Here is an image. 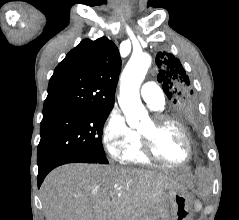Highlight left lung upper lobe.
I'll list each match as a JSON object with an SVG mask.
<instances>
[{
    "label": "left lung upper lobe",
    "mask_w": 239,
    "mask_h": 220,
    "mask_svg": "<svg viewBox=\"0 0 239 220\" xmlns=\"http://www.w3.org/2000/svg\"><path fill=\"white\" fill-rule=\"evenodd\" d=\"M156 64L158 81L170 100L172 114L183 121L198 122V105L190 90V81L178 58L167 52H158ZM197 126V125H195Z\"/></svg>",
    "instance_id": "1"
}]
</instances>
